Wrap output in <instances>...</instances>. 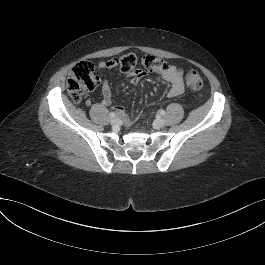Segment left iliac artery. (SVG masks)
Instances as JSON below:
<instances>
[{
	"mask_svg": "<svg viewBox=\"0 0 265 265\" xmlns=\"http://www.w3.org/2000/svg\"><path fill=\"white\" fill-rule=\"evenodd\" d=\"M160 114H161L162 116H164L166 113H165L164 110H160Z\"/></svg>",
	"mask_w": 265,
	"mask_h": 265,
	"instance_id": "44dca946",
	"label": "left iliac artery"
}]
</instances>
